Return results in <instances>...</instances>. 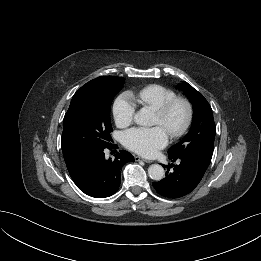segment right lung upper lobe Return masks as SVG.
Returning a JSON list of instances; mask_svg holds the SVG:
<instances>
[{"instance_id":"cb5924a9","label":"right lung upper lobe","mask_w":261,"mask_h":261,"mask_svg":"<svg viewBox=\"0 0 261 261\" xmlns=\"http://www.w3.org/2000/svg\"><path fill=\"white\" fill-rule=\"evenodd\" d=\"M116 76H100L96 79H93L91 81H89L88 83H86L84 86H82L81 88H85L91 85H95V84H103V83H108L111 82Z\"/></svg>"}]
</instances>
